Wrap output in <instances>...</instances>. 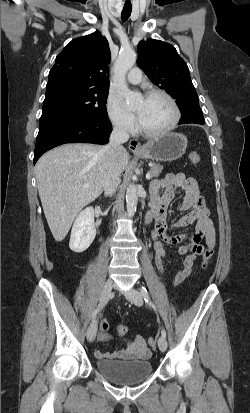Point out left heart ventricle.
I'll return each mask as SVG.
<instances>
[{"mask_svg":"<svg viewBox=\"0 0 250 413\" xmlns=\"http://www.w3.org/2000/svg\"><path fill=\"white\" fill-rule=\"evenodd\" d=\"M142 126L149 131H160L168 127L174 117L170 103L163 97L141 99L135 108Z\"/></svg>","mask_w":250,"mask_h":413,"instance_id":"obj_1","label":"left heart ventricle"}]
</instances>
